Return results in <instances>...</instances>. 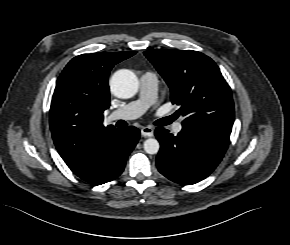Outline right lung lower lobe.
<instances>
[{"instance_id":"right-lung-lower-lobe-1","label":"right lung lower lobe","mask_w":290,"mask_h":245,"mask_svg":"<svg viewBox=\"0 0 290 245\" xmlns=\"http://www.w3.org/2000/svg\"><path fill=\"white\" fill-rule=\"evenodd\" d=\"M139 137V129L133 126L118 128L91 160L71 170L92 185H101L114 180L124 170L126 159L136 146Z\"/></svg>"}]
</instances>
